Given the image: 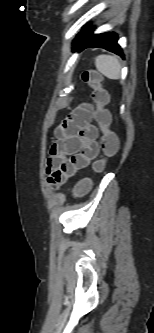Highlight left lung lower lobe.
<instances>
[{
    "instance_id": "obj_1",
    "label": "left lung lower lobe",
    "mask_w": 154,
    "mask_h": 333,
    "mask_svg": "<svg viewBox=\"0 0 154 333\" xmlns=\"http://www.w3.org/2000/svg\"><path fill=\"white\" fill-rule=\"evenodd\" d=\"M94 28L85 27L74 40V49L83 50L87 47H100L114 52L124 58L121 47L117 44L118 36L115 33L93 34Z\"/></svg>"
}]
</instances>
